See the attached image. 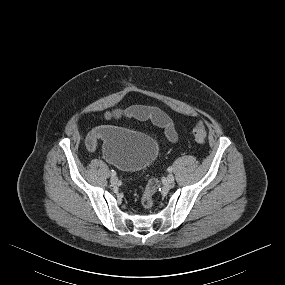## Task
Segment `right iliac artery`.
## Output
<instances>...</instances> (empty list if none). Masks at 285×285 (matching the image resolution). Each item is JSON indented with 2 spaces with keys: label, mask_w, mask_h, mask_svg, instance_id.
Here are the masks:
<instances>
[{
  "label": "right iliac artery",
  "mask_w": 285,
  "mask_h": 285,
  "mask_svg": "<svg viewBox=\"0 0 285 285\" xmlns=\"http://www.w3.org/2000/svg\"><path fill=\"white\" fill-rule=\"evenodd\" d=\"M111 175L112 176H115L116 175V172L114 170H111Z\"/></svg>",
  "instance_id": "82829eb1"
}]
</instances>
